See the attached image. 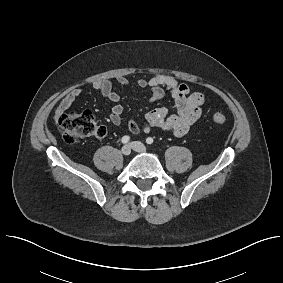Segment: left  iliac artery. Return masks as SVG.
I'll list each match as a JSON object with an SVG mask.
<instances>
[{"instance_id": "left-iliac-artery-1", "label": "left iliac artery", "mask_w": 283, "mask_h": 283, "mask_svg": "<svg viewBox=\"0 0 283 283\" xmlns=\"http://www.w3.org/2000/svg\"><path fill=\"white\" fill-rule=\"evenodd\" d=\"M146 143H147V144H152V143H153V138L148 137V138L146 139Z\"/></svg>"}]
</instances>
